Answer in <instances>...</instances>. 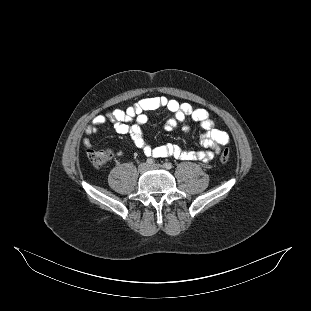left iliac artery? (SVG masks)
Returning <instances> with one entry per match:
<instances>
[{
	"mask_svg": "<svg viewBox=\"0 0 311 311\" xmlns=\"http://www.w3.org/2000/svg\"><path fill=\"white\" fill-rule=\"evenodd\" d=\"M164 167L166 169H171L173 166H172V164L170 162H166V163H164Z\"/></svg>",
	"mask_w": 311,
	"mask_h": 311,
	"instance_id": "44dca946",
	"label": "left iliac artery"
}]
</instances>
